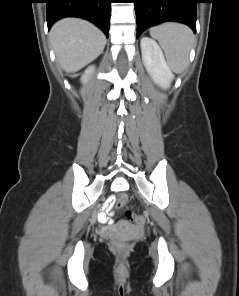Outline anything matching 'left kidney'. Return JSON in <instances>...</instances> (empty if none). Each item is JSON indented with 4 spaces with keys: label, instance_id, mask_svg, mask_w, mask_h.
Instances as JSON below:
<instances>
[{
    "label": "left kidney",
    "instance_id": "obj_1",
    "mask_svg": "<svg viewBox=\"0 0 239 296\" xmlns=\"http://www.w3.org/2000/svg\"><path fill=\"white\" fill-rule=\"evenodd\" d=\"M140 46L146 70L155 83L161 87L168 88L174 79V75L165 61L163 52L157 42L149 37H143Z\"/></svg>",
    "mask_w": 239,
    "mask_h": 296
}]
</instances>
